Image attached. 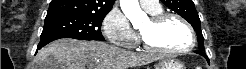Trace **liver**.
Listing matches in <instances>:
<instances>
[{
    "instance_id": "liver-1",
    "label": "liver",
    "mask_w": 246,
    "mask_h": 69,
    "mask_svg": "<svg viewBox=\"0 0 246 69\" xmlns=\"http://www.w3.org/2000/svg\"><path fill=\"white\" fill-rule=\"evenodd\" d=\"M49 55L65 69H127L159 59L153 54L135 53L100 41L85 42L69 38L58 39L41 49L36 56V67L43 69Z\"/></svg>"
}]
</instances>
